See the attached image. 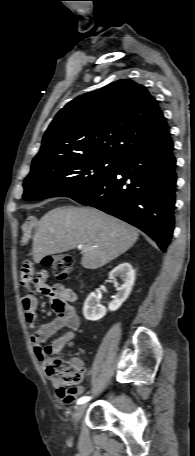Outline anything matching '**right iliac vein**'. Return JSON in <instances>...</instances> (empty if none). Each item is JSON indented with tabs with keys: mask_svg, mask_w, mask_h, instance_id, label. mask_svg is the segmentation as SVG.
Returning <instances> with one entry per match:
<instances>
[{
	"mask_svg": "<svg viewBox=\"0 0 195 456\" xmlns=\"http://www.w3.org/2000/svg\"><path fill=\"white\" fill-rule=\"evenodd\" d=\"M85 409H86V404H82L75 409V412L73 415V420H74L75 425L78 423V421L83 416Z\"/></svg>",
	"mask_w": 195,
	"mask_h": 456,
	"instance_id": "63e3f726",
	"label": "right iliac vein"
}]
</instances>
